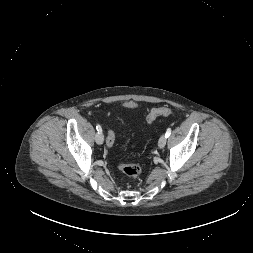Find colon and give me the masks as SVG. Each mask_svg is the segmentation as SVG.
I'll list each match as a JSON object with an SVG mask.
<instances>
[{
    "instance_id": "5ec220e1",
    "label": "colon",
    "mask_w": 253,
    "mask_h": 253,
    "mask_svg": "<svg viewBox=\"0 0 253 253\" xmlns=\"http://www.w3.org/2000/svg\"><path fill=\"white\" fill-rule=\"evenodd\" d=\"M173 114V111L167 107H159L154 108L150 111L147 116V122L149 124L153 123L155 119L159 116H169ZM115 143V132L110 130L106 137V144L109 147H112ZM119 169L131 180L138 178L141 174V168L136 164H128V163H119Z\"/></svg>"
}]
</instances>
